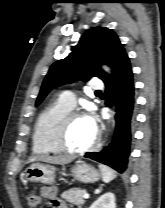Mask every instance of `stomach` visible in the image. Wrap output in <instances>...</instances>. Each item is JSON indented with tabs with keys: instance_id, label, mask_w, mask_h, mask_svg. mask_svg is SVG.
I'll return each mask as SVG.
<instances>
[{
	"instance_id": "stomach-1",
	"label": "stomach",
	"mask_w": 165,
	"mask_h": 208,
	"mask_svg": "<svg viewBox=\"0 0 165 208\" xmlns=\"http://www.w3.org/2000/svg\"><path fill=\"white\" fill-rule=\"evenodd\" d=\"M56 168L42 163H33L25 169V178L30 182H40L42 184L50 185L55 181ZM73 177L82 183L97 182L101 174L91 165L85 162H78L72 168Z\"/></svg>"
}]
</instances>
